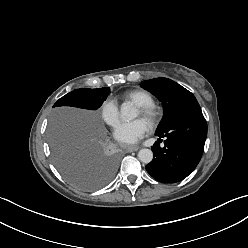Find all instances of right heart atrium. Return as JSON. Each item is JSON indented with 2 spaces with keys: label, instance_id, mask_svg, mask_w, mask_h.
I'll return each mask as SVG.
<instances>
[{
  "label": "right heart atrium",
  "instance_id": "1",
  "mask_svg": "<svg viewBox=\"0 0 248 248\" xmlns=\"http://www.w3.org/2000/svg\"><path fill=\"white\" fill-rule=\"evenodd\" d=\"M102 120L111 127H114L119 120L118 104L113 99H106L99 108Z\"/></svg>",
  "mask_w": 248,
  "mask_h": 248
}]
</instances>
